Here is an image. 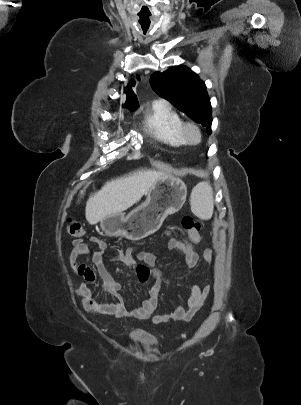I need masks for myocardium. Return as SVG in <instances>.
<instances>
[{
	"label": "myocardium",
	"mask_w": 301,
	"mask_h": 405,
	"mask_svg": "<svg viewBox=\"0 0 301 405\" xmlns=\"http://www.w3.org/2000/svg\"><path fill=\"white\" fill-rule=\"evenodd\" d=\"M182 131L186 142L189 144H198L202 139L201 130L194 122L184 123Z\"/></svg>",
	"instance_id": "f54148a6"
}]
</instances>
